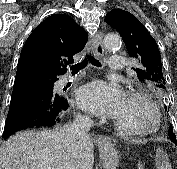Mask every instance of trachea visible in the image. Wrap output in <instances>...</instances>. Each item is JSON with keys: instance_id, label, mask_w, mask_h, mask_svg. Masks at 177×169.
Masks as SVG:
<instances>
[{"instance_id": "obj_1", "label": "trachea", "mask_w": 177, "mask_h": 169, "mask_svg": "<svg viewBox=\"0 0 177 169\" xmlns=\"http://www.w3.org/2000/svg\"><path fill=\"white\" fill-rule=\"evenodd\" d=\"M88 61H90L96 67L102 66L101 63L97 59H95L91 54H89V55H87V58L85 60H83L81 63L72 65L70 67L72 73H77L79 70L85 68Z\"/></svg>"}]
</instances>
